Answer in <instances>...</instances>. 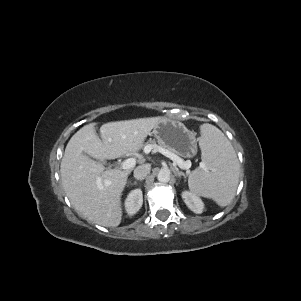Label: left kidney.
Segmentation results:
<instances>
[{
    "mask_svg": "<svg viewBox=\"0 0 301 301\" xmlns=\"http://www.w3.org/2000/svg\"><path fill=\"white\" fill-rule=\"evenodd\" d=\"M182 199L184 200L187 207L194 213L200 214L203 212L204 204L202 200L193 192L184 191L182 192Z\"/></svg>",
    "mask_w": 301,
    "mask_h": 301,
    "instance_id": "obj_1",
    "label": "left kidney"
}]
</instances>
